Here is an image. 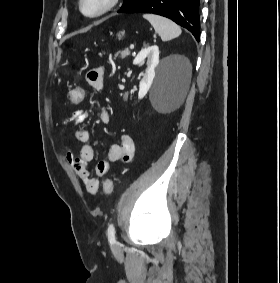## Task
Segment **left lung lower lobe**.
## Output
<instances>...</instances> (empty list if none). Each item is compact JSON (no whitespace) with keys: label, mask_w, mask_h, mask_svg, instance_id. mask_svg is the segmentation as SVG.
Segmentation results:
<instances>
[{"label":"left lung lower lobe","mask_w":280,"mask_h":283,"mask_svg":"<svg viewBox=\"0 0 280 283\" xmlns=\"http://www.w3.org/2000/svg\"><path fill=\"white\" fill-rule=\"evenodd\" d=\"M200 0H137L121 13H153L170 18L188 29L199 41Z\"/></svg>","instance_id":"obj_1"}]
</instances>
